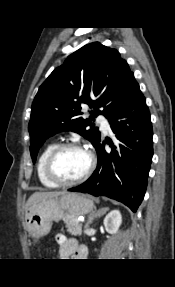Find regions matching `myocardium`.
I'll use <instances>...</instances> for the list:
<instances>
[{"instance_id":"myocardium-1","label":"myocardium","mask_w":175,"mask_h":287,"mask_svg":"<svg viewBox=\"0 0 175 287\" xmlns=\"http://www.w3.org/2000/svg\"><path fill=\"white\" fill-rule=\"evenodd\" d=\"M80 149L85 151L89 156V165L86 171L77 179L74 180H63L59 178L54 171V162L57 156L65 149ZM96 166V158L91 150L85 146L76 143V142H64L58 144L49 154L45 163V174L49 180L55 183L58 186H73L80 184L87 180L89 176L93 173Z\"/></svg>"}]
</instances>
